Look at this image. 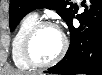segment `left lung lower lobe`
<instances>
[{"instance_id":"1","label":"left lung lower lobe","mask_w":102,"mask_h":75,"mask_svg":"<svg viewBox=\"0 0 102 75\" xmlns=\"http://www.w3.org/2000/svg\"><path fill=\"white\" fill-rule=\"evenodd\" d=\"M85 2V1H84ZM90 10L79 19L88 24L83 33L72 25L75 12L66 22L70 30V46L65 57L45 73L62 75H102V1L90 0Z\"/></svg>"}]
</instances>
